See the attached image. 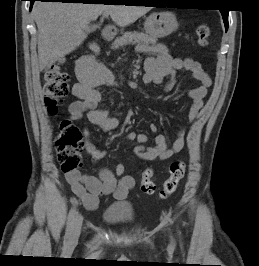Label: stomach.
Returning a JSON list of instances; mask_svg holds the SVG:
<instances>
[{"instance_id": "1", "label": "stomach", "mask_w": 259, "mask_h": 266, "mask_svg": "<svg viewBox=\"0 0 259 266\" xmlns=\"http://www.w3.org/2000/svg\"><path fill=\"white\" fill-rule=\"evenodd\" d=\"M178 27L174 14L169 12H160L151 14L145 21V32L157 39L167 37Z\"/></svg>"}]
</instances>
